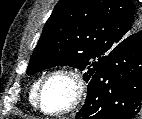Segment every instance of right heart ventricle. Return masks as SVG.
Returning <instances> with one entry per match:
<instances>
[{"label": "right heart ventricle", "instance_id": "1", "mask_svg": "<svg viewBox=\"0 0 142 119\" xmlns=\"http://www.w3.org/2000/svg\"><path fill=\"white\" fill-rule=\"evenodd\" d=\"M40 82H41L40 80H37L30 87L28 98L32 106H35V95Z\"/></svg>", "mask_w": 142, "mask_h": 119}]
</instances>
